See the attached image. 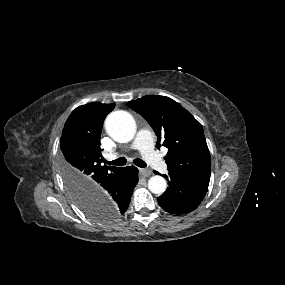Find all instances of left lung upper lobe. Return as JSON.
Here are the masks:
<instances>
[{"instance_id":"1","label":"left lung upper lobe","mask_w":285,"mask_h":285,"mask_svg":"<svg viewBox=\"0 0 285 285\" xmlns=\"http://www.w3.org/2000/svg\"><path fill=\"white\" fill-rule=\"evenodd\" d=\"M155 131L157 147H167L168 170L184 179L209 184L210 152L201 124L180 104L166 96L147 95L130 101Z\"/></svg>"}]
</instances>
